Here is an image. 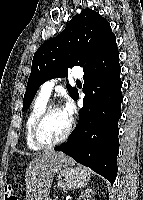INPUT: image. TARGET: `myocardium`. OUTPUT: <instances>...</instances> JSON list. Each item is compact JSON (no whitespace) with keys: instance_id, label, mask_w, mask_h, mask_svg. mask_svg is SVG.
<instances>
[{"instance_id":"obj_1","label":"myocardium","mask_w":143,"mask_h":200,"mask_svg":"<svg viewBox=\"0 0 143 200\" xmlns=\"http://www.w3.org/2000/svg\"><path fill=\"white\" fill-rule=\"evenodd\" d=\"M56 109H62L61 106L57 103H48L45 108L41 111V113L38 115L36 120L33 123L32 129H31V137L35 145L41 148H51L56 145H59L63 142H65L69 136L71 135L74 127V122L72 119H70L69 126L66 130V132L57 140L54 141H46L41 136V128L44 124L45 120L49 116V114Z\"/></svg>"}]
</instances>
